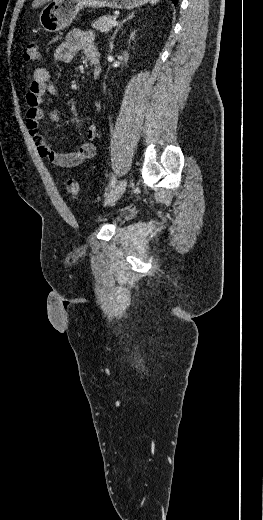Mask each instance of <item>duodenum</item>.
<instances>
[{"label": "duodenum", "mask_w": 263, "mask_h": 520, "mask_svg": "<svg viewBox=\"0 0 263 520\" xmlns=\"http://www.w3.org/2000/svg\"><path fill=\"white\" fill-rule=\"evenodd\" d=\"M88 58L94 66L93 75L95 78H98L101 73L100 57L98 52H92Z\"/></svg>", "instance_id": "obj_1"}]
</instances>
